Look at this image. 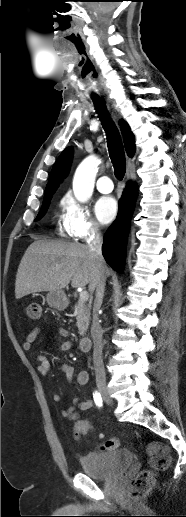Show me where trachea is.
<instances>
[{
	"mask_svg": "<svg viewBox=\"0 0 186 517\" xmlns=\"http://www.w3.org/2000/svg\"><path fill=\"white\" fill-rule=\"evenodd\" d=\"M91 98L94 102L96 112L99 115L103 128L107 134L108 148L114 167V174L117 179L122 180L126 172V161L119 132L108 115L105 101L96 95H93Z\"/></svg>",
	"mask_w": 186,
	"mask_h": 517,
	"instance_id": "trachea-1",
	"label": "trachea"
}]
</instances>
